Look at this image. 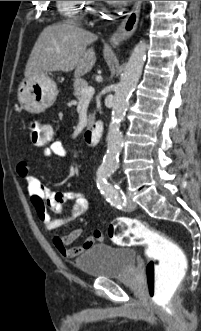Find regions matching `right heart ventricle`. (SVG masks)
Wrapping results in <instances>:
<instances>
[{
  "label": "right heart ventricle",
  "mask_w": 201,
  "mask_h": 331,
  "mask_svg": "<svg viewBox=\"0 0 201 331\" xmlns=\"http://www.w3.org/2000/svg\"><path fill=\"white\" fill-rule=\"evenodd\" d=\"M58 9L70 22L80 23L86 9V1H57Z\"/></svg>",
  "instance_id": "obj_1"
}]
</instances>
